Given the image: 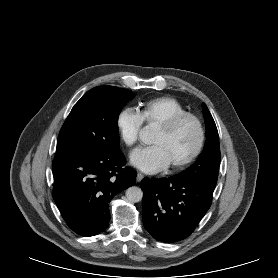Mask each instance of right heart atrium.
I'll return each instance as SVG.
<instances>
[{
  "label": "right heart atrium",
  "mask_w": 278,
  "mask_h": 278,
  "mask_svg": "<svg viewBox=\"0 0 278 278\" xmlns=\"http://www.w3.org/2000/svg\"><path fill=\"white\" fill-rule=\"evenodd\" d=\"M143 120L139 112L133 108L122 109L116 118V127L120 138L127 146H133L139 139Z\"/></svg>",
  "instance_id": "1"
}]
</instances>
